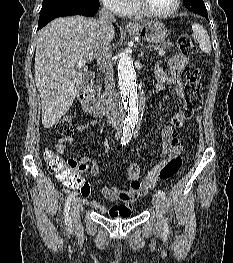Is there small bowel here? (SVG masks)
<instances>
[{
	"instance_id": "c3829d8e",
	"label": "small bowel",
	"mask_w": 233,
	"mask_h": 263,
	"mask_svg": "<svg viewBox=\"0 0 233 263\" xmlns=\"http://www.w3.org/2000/svg\"><path fill=\"white\" fill-rule=\"evenodd\" d=\"M188 64V58L183 53H178L172 56L168 60L169 72H166L160 65L155 68V76L157 80L156 91L160 92L164 90L168 85H173L175 93L179 98H184V87L181 74ZM96 125L95 120H89L87 122L78 124L75 126L74 131L76 133H83L91 127ZM163 139V159L147 174L146 177L140 179V168L137 163H129L126 166V177L130 183L127 189H119L114 186H102L101 193L107 200L115 203H119L113 207H106L102 203L91 200L88 201L89 195H83L84 202L96 211L107 214L111 218H128L132 214L133 203L140 197L146 195L148 191L156 184L155 178L156 171L167 163L169 160L175 158L182 151L181 144L179 142L178 133L171 126H167L162 131ZM74 137L72 135H66L59 139L56 144V151L58 154H63L66 151L67 144L72 143ZM75 162L74 171H85L90 166V175L96 176L99 173V167L97 163L91 158L85 157L79 160H73ZM68 182V181H66ZM78 184V183H76Z\"/></svg>"
}]
</instances>
